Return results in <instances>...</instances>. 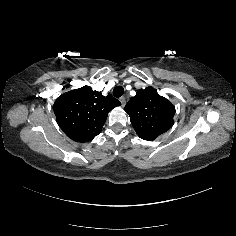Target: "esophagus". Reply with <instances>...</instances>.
Returning a JSON list of instances; mask_svg holds the SVG:
<instances>
[{
  "label": "esophagus",
  "instance_id": "1",
  "mask_svg": "<svg viewBox=\"0 0 236 236\" xmlns=\"http://www.w3.org/2000/svg\"><path fill=\"white\" fill-rule=\"evenodd\" d=\"M119 100H120V102H121L122 107H124L125 104H126V99H125V97L122 96V97L119 98Z\"/></svg>",
  "mask_w": 236,
  "mask_h": 236
}]
</instances>
